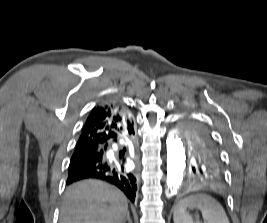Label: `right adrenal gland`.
Masks as SVG:
<instances>
[{"mask_svg":"<svg viewBox=\"0 0 267 223\" xmlns=\"http://www.w3.org/2000/svg\"><path fill=\"white\" fill-rule=\"evenodd\" d=\"M126 221H128V223H132L131 219H130V214L129 212H127L126 217L124 218V220L122 221V223H125Z\"/></svg>","mask_w":267,"mask_h":223,"instance_id":"1","label":"right adrenal gland"}]
</instances>
